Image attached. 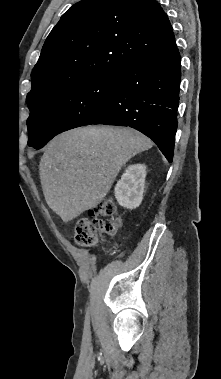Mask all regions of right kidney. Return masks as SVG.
I'll list each match as a JSON object with an SVG mask.
<instances>
[{
  "instance_id": "right-kidney-1",
  "label": "right kidney",
  "mask_w": 221,
  "mask_h": 379,
  "mask_svg": "<svg viewBox=\"0 0 221 379\" xmlns=\"http://www.w3.org/2000/svg\"><path fill=\"white\" fill-rule=\"evenodd\" d=\"M146 166L134 164L129 166L115 187V198L118 203L128 209L137 208L143 199Z\"/></svg>"
}]
</instances>
